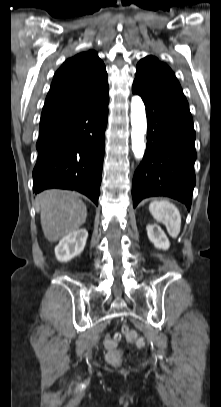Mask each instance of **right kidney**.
<instances>
[{"label": "right kidney", "mask_w": 221, "mask_h": 407, "mask_svg": "<svg viewBox=\"0 0 221 407\" xmlns=\"http://www.w3.org/2000/svg\"><path fill=\"white\" fill-rule=\"evenodd\" d=\"M88 232L86 229L76 230L64 238L55 247V256L58 261L67 262L84 250Z\"/></svg>", "instance_id": "obj_1"}]
</instances>
